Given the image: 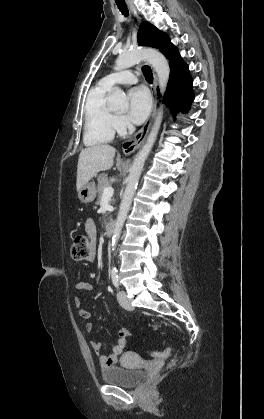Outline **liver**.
Instances as JSON below:
<instances>
[{"mask_svg":"<svg viewBox=\"0 0 264 419\" xmlns=\"http://www.w3.org/2000/svg\"><path fill=\"white\" fill-rule=\"evenodd\" d=\"M115 152L116 149L108 144L91 146L81 151L77 165V191L98 172L112 168Z\"/></svg>","mask_w":264,"mask_h":419,"instance_id":"obj_1","label":"liver"}]
</instances>
